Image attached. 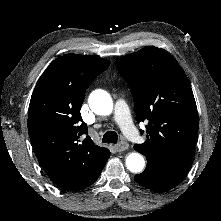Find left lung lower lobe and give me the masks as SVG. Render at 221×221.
Segmentation results:
<instances>
[{
	"mask_svg": "<svg viewBox=\"0 0 221 221\" xmlns=\"http://www.w3.org/2000/svg\"><path fill=\"white\" fill-rule=\"evenodd\" d=\"M188 168L174 167L162 163H149L134 180L140 185L157 191L166 192L177 186L186 176Z\"/></svg>",
	"mask_w": 221,
	"mask_h": 221,
	"instance_id": "left-lung-lower-lobe-1",
	"label": "left lung lower lobe"
}]
</instances>
